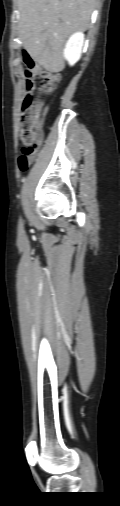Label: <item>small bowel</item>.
<instances>
[{"label": "small bowel", "mask_w": 120, "mask_h": 506, "mask_svg": "<svg viewBox=\"0 0 120 506\" xmlns=\"http://www.w3.org/2000/svg\"><path fill=\"white\" fill-rule=\"evenodd\" d=\"M26 88H27V91H29V92L32 91L33 90V83L30 86H26Z\"/></svg>", "instance_id": "obj_1"}]
</instances>
